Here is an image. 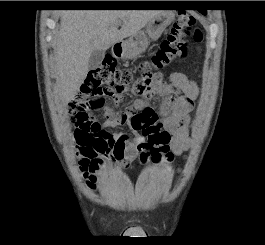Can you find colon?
<instances>
[{"mask_svg":"<svg viewBox=\"0 0 265 245\" xmlns=\"http://www.w3.org/2000/svg\"><path fill=\"white\" fill-rule=\"evenodd\" d=\"M196 19L186 13H180L168 37L162 42L149 61H141L136 71L119 69L117 61L109 55L86 78L84 90L86 96L120 97L126 90L134 95L150 99L158 93L155 71L171 65L174 61L186 58L190 53L189 41L199 43L201 33L195 30ZM89 108H96L84 96H77L69 105V115L75 123V139L81 146L108 150L117 156L139 154L141 163L160 162L162 159L172 160L169 150L170 133L162 128L158 117L150 111H141L131 117H124L123 123L141 133L142 141L134 150L128 149L122 140L112 134L101 131L96 116L87 113Z\"/></svg>","mask_w":265,"mask_h":245,"instance_id":"obj_1","label":"colon"}]
</instances>
